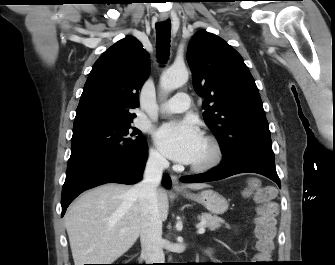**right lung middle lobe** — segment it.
Returning <instances> with one entry per match:
<instances>
[{
	"instance_id": "dd1d6c3e",
	"label": "right lung middle lobe",
	"mask_w": 335,
	"mask_h": 265,
	"mask_svg": "<svg viewBox=\"0 0 335 265\" xmlns=\"http://www.w3.org/2000/svg\"><path fill=\"white\" fill-rule=\"evenodd\" d=\"M147 146L132 120L94 123L73 128L69 162L88 156H132Z\"/></svg>"
}]
</instances>
